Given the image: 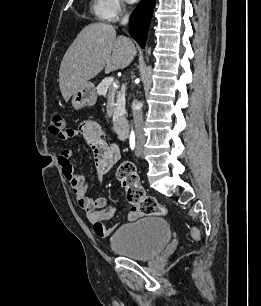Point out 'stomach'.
Here are the masks:
<instances>
[{
  "mask_svg": "<svg viewBox=\"0 0 261 306\" xmlns=\"http://www.w3.org/2000/svg\"><path fill=\"white\" fill-rule=\"evenodd\" d=\"M97 101V93L93 83L86 82L81 85L72 94V107L74 109H81L86 106H93Z\"/></svg>",
  "mask_w": 261,
  "mask_h": 306,
  "instance_id": "1",
  "label": "stomach"
}]
</instances>
